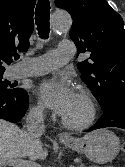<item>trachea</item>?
<instances>
[{
    "label": "trachea",
    "instance_id": "3493384b",
    "mask_svg": "<svg viewBox=\"0 0 125 167\" xmlns=\"http://www.w3.org/2000/svg\"><path fill=\"white\" fill-rule=\"evenodd\" d=\"M50 3L49 0H38L35 9V22L38 34L42 39H47L50 32ZM19 55H15V60L19 59Z\"/></svg>",
    "mask_w": 125,
    "mask_h": 167
}]
</instances>
